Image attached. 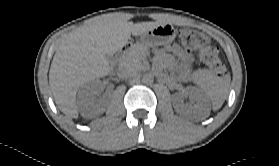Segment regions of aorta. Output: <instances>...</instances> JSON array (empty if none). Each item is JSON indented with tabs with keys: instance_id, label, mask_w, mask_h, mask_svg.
<instances>
[{
	"instance_id": "aorta-1",
	"label": "aorta",
	"mask_w": 279,
	"mask_h": 166,
	"mask_svg": "<svg viewBox=\"0 0 279 166\" xmlns=\"http://www.w3.org/2000/svg\"><path fill=\"white\" fill-rule=\"evenodd\" d=\"M154 77L151 73H145L142 76V82L145 84H151L153 83Z\"/></svg>"
}]
</instances>
